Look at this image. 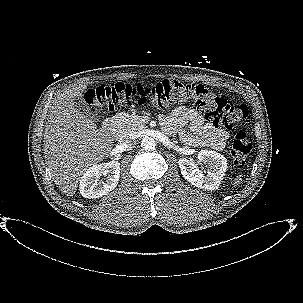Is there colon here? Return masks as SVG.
<instances>
[{
	"mask_svg": "<svg viewBox=\"0 0 303 303\" xmlns=\"http://www.w3.org/2000/svg\"><path fill=\"white\" fill-rule=\"evenodd\" d=\"M87 104L98 112H115L136 104L165 108L193 102L205 117L215 125L237 126L248 115L245 105H232L202 84H185L176 80H161L149 85L115 83L87 90ZM252 150L251 137L238 132L233 140L231 154L236 165L246 163Z\"/></svg>",
	"mask_w": 303,
	"mask_h": 303,
	"instance_id": "colon-1",
	"label": "colon"
}]
</instances>
